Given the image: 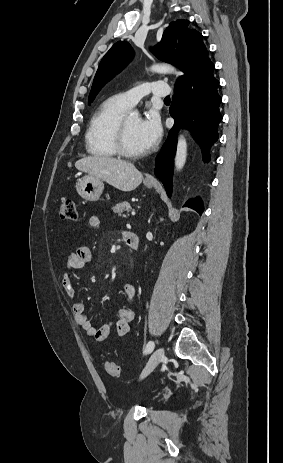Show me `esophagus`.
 Instances as JSON below:
<instances>
[{
  "mask_svg": "<svg viewBox=\"0 0 283 463\" xmlns=\"http://www.w3.org/2000/svg\"><path fill=\"white\" fill-rule=\"evenodd\" d=\"M146 181L155 182L156 180H155V178L153 176L148 175V176H146Z\"/></svg>",
  "mask_w": 283,
  "mask_h": 463,
  "instance_id": "obj_1",
  "label": "esophagus"
}]
</instances>
